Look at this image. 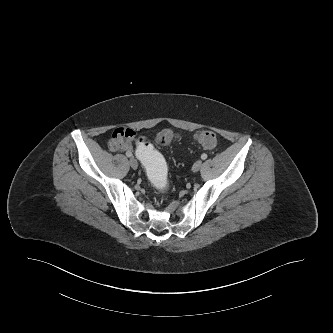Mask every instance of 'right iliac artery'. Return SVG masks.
I'll return each instance as SVG.
<instances>
[{"mask_svg": "<svg viewBox=\"0 0 333 333\" xmlns=\"http://www.w3.org/2000/svg\"><path fill=\"white\" fill-rule=\"evenodd\" d=\"M126 156H127V157H132L133 154H132V152L128 151V152H126Z\"/></svg>", "mask_w": 333, "mask_h": 333, "instance_id": "obj_1", "label": "right iliac artery"}]
</instances>
